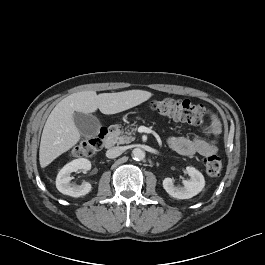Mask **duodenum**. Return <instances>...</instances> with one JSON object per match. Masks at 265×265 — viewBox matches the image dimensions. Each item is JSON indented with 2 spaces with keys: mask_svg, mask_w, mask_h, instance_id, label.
<instances>
[{
  "mask_svg": "<svg viewBox=\"0 0 265 265\" xmlns=\"http://www.w3.org/2000/svg\"><path fill=\"white\" fill-rule=\"evenodd\" d=\"M116 142V135L113 131H111L104 139V146L107 149L114 147Z\"/></svg>",
  "mask_w": 265,
  "mask_h": 265,
  "instance_id": "obj_1",
  "label": "duodenum"
}]
</instances>
